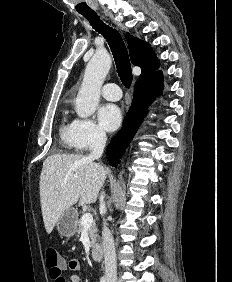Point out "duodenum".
Returning <instances> with one entry per match:
<instances>
[{
  "label": "duodenum",
  "instance_id": "obj_1",
  "mask_svg": "<svg viewBox=\"0 0 232 282\" xmlns=\"http://www.w3.org/2000/svg\"><path fill=\"white\" fill-rule=\"evenodd\" d=\"M91 256L94 261L100 262L104 256V249L102 245L98 243L94 244L91 249Z\"/></svg>",
  "mask_w": 232,
  "mask_h": 282
}]
</instances>
